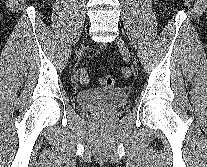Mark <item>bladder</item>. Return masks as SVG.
Masks as SVG:
<instances>
[{
	"mask_svg": "<svg viewBox=\"0 0 207 167\" xmlns=\"http://www.w3.org/2000/svg\"><path fill=\"white\" fill-rule=\"evenodd\" d=\"M129 100L128 93L122 88H91L79 91L76 102L87 109L116 110L124 107Z\"/></svg>",
	"mask_w": 207,
	"mask_h": 167,
	"instance_id": "1",
	"label": "bladder"
}]
</instances>
